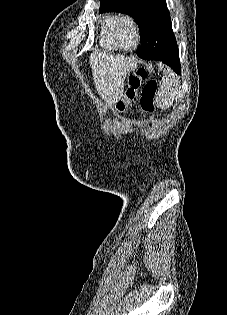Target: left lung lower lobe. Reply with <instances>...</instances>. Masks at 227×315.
<instances>
[{"instance_id": "1", "label": "left lung lower lobe", "mask_w": 227, "mask_h": 315, "mask_svg": "<svg viewBox=\"0 0 227 315\" xmlns=\"http://www.w3.org/2000/svg\"><path fill=\"white\" fill-rule=\"evenodd\" d=\"M138 57L147 60H159L171 66V68L180 74V61L178 50L162 51L157 47V41L152 38L142 39L141 46L137 50Z\"/></svg>"}]
</instances>
